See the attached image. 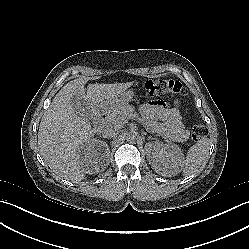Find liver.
<instances>
[{
	"mask_svg": "<svg viewBox=\"0 0 249 249\" xmlns=\"http://www.w3.org/2000/svg\"><path fill=\"white\" fill-rule=\"evenodd\" d=\"M85 83L70 81L56 94L38 133L45 161L68 166L79 177L87 170V155L96 143L90 117L110 111L129 86L89 83L86 88Z\"/></svg>",
	"mask_w": 249,
	"mask_h": 249,
	"instance_id": "obj_1",
	"label": "liver"
}]
</instances>
